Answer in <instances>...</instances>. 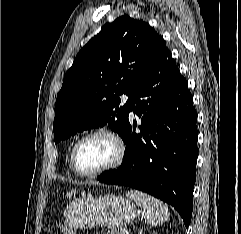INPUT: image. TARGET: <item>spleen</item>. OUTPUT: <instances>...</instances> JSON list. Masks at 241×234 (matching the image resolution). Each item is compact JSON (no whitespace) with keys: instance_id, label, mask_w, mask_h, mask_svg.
Here are the masks:
<instances>
[{"instance_id":"obj_1","label":"spleen","mask_w":241,"mask_h":234,"mask_svg":"<svg viewBox=\"0 0 241 234\" xmlns=\"http://www.w3.org/2000/svg\"><path fill=\"white\" fill-rule=\"evenodd\" d=\"M126 196L143 209L150 226H158L168 221L170 213L166 204L138 190H129Z\"/></svg>"}]
</instances>
